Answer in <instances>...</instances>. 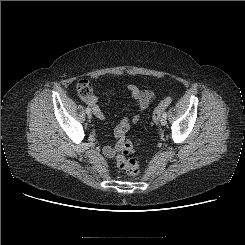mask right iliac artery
I'll return each instance as SVG.
<instances>
[{"label": "right iliac artery", "mask_w": 245, "mask_h": 245, "mask_svg": "<svg viewBox=\"0 0 245 245\" xmlns=\"http://www.w3.org/2000/svg\"><path fill=\"white\" fill-rule=\"evenodd\" d=\"M86 113H91V109L89 107L86 108Z\"/></svg>", "instance_id": "obj_1"}]
</instances>
